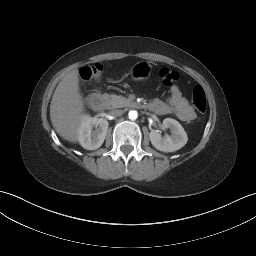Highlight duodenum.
<instances>
[{"instance_id":"410a0bca","label":"duodenum","mask_w":256,"mask_h":256,"mask_svg":"<svg viewBox=\"0 0 256 256\" xmlns=\"http://www.w3.org/2000/svg\"><path fill=\"white\" fill-rule=\"evenodd\" d=\"M88 103L93 110L99 111L105 108L106 98L101 94L92 93L88 97ZM134 105L139 108H144V107L148 108V105H145L144 103H140V102H135Z\"/></svg>"}]
</instances>
